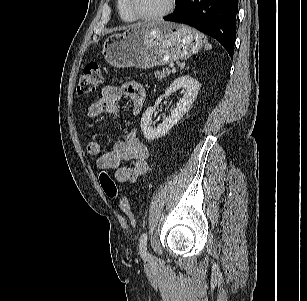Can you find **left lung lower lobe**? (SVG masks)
Returning a JSON list of instances; mask_svg holds the SVG:
<instances>
[{
    "label": "left lung lower lobe",
    "mask_w": 307,
    "mask_h": 301,
    "mask_svg": "<svg viewBox=\"0 0 307 301\" xmlns=\"http://www.w3.org/2000/svg\"><path fill=\"white\" fill-rule=\"evenodd\" d=\"M166 21L188 24L220 42L233 58L237 0H178Z\"/></svg>",
    "instance_id": "obj_1"
}]
</instances>
